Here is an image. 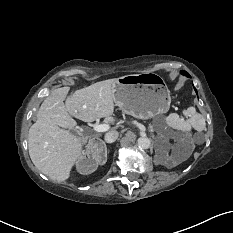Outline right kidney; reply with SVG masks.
Masks as SVG:
<instances>
[{"label": "right kidney", "mask_w": 233, "mask_h": 233, "mask_svg": "<svg viewBox=\"0 0 233 233\" xmlns=\"http://www.w3.org/2000/svg\"><path fill=\"white\" fill-rule=\"evenodd\" d=\"M107 161V153H102L96 149L87 152V157H82L76 163V170L83 175L91 174L99 165H104Z\"/></svg>", "instance_id": "ca27d5eb"}]
</instances>
